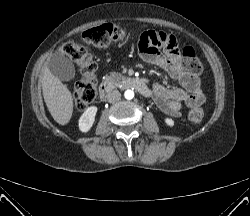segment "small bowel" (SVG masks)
Segmentation results:
<instances>
[{
  "mask_svg": "<svg viewBox=\"0 0 250 216\" xmlns=\"http://www.w3.org/2000/svg\"><path fill=\"white\" fill-rule=\"evenodd\" d=\"M162 49L165 50V54ZM139 51L145 61L161 67L181 85V88L169 89L159 83L153 84L151 95L161 111L177 118L184 108H193L203 103L204 95L200 81L180 66L173 35L157 31L145 32L140 37Z\"/></svg>",
  "mask_w": 250,
  "mask_h": 216,
  "instance_id": "small-bowel-1",
  "label": "small bowel"
}]
</instances>
